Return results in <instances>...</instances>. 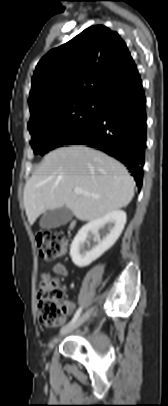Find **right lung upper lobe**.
<instances>
[{
    "instance_id": "1",
    "label": "right lung upper lobe",
    "mask_w": 168,
    "mask_h": 406,
    "mask_svg": "<svg viewBox=\"0 0 168 406\" xmlns=\"http://www.w3.org/2000/svg\"><path fill=\"white\" fill-rule=\"evenodd\" d=\"M138 75L118 33L103 25L91 26L49 51L36 66L29 97V123L81 101L99 99Z\"/></svg>"
}]
</instances>
